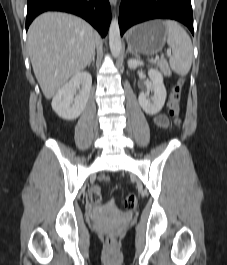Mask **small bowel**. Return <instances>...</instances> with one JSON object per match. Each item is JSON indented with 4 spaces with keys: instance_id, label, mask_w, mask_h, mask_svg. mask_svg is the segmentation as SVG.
Instances as JSON below:
<instances>
[{
    "instance_id": "1",
    "label": "small bowel",
    "mask_w": 227,
    "mask_h": 265,
    "mask_svg": "<svg viewBox=\"0 0 227 265\" xmlns=\"http://www.w3.org/2000/svg\"><path fill=\"white\" fill-rule=\"evenodd\" d=\"M154 123L159 128L165 129L168 126V119L165 115L159 114L154 117Z\"/></svg>"
}]
</instances>
